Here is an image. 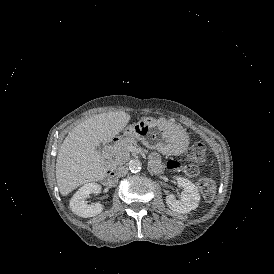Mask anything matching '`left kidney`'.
I'll use <instances>...</instances> for the list:
<instances>
[{"instance_id": "1", "label": "left kidney", "mask_w": 274, "mask_h": 274, "mask_svg": "<svg viewBox=\"0 0 274 274\" xmlns=\"http://www.w3.org/2000/svg\"><path fill=\"white\" fill-rule=\"evenodd\" d=\"M172 178L184 188V191L180 194L181 199H176L172 194H168L166 196L167 205L172 210L180 213H187L197 208L200 193L195 184L182 176L174 175Z\"/></svg>"}]
</instances>
